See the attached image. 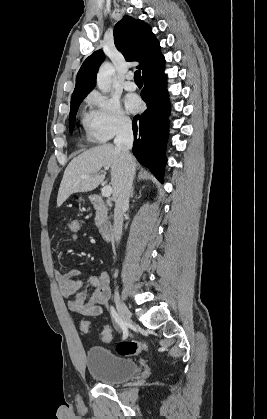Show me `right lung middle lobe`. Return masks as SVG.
I'll use <instances>...</instances> for the list:
<instances>
[{
  "instance_id": "dd1d6c3e",
  "label": "right lung middle lobe",
  "mask_w": 267,
  "mask_h": 419,
  "mask_svg": "<svg viewBox=\"0 0 267 419\" xmlns=\"http://www.w3.org/2000/svg\"><path fill=\"white\" fill-rule=\"evenodd\" d=\"M86 96L71 98V108L69 115V124H70V133H72L75 126L76 113L78 111L79 105Z\"/></svg>"
}]
</instances>
